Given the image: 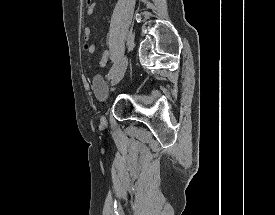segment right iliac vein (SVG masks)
Masks as SVG:
<instances>
[{"label":"right iliac vein","mask_w":275,"mask_h":215,"mask_svg":"<svg viewBox=\"0 0 275 215\" xmlns=\"http://www.w3.org/2000/svg\"><path fill=\"white\" fill-rule=\"evenodd\" d=\"M126 68H127V59L124 58L118 65L117 69L111 75V84L112 85H116L122 80V78L125 74ZM101 121H102V123L106 122V119L104 116L101 117Z\"/></svg>","instance_id":"obj_1"}]
</instances>
